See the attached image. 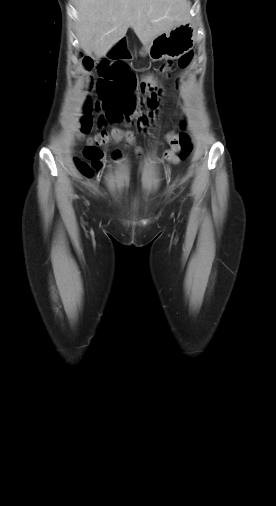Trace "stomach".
I'll list each match as a JSON object with an SVG mask.
<instances>
[{
    "mask_svg": "<svg viewBox=\"0 0 276 506\" xmlns=\"http://www.w3.org/2000/svg\"><path fill=\"white\" fill-rule=\"evenodd\" d=\"M196 31L190 22L180 24L168 32H164L148 43L140 51V55H148L153 61L177 59L190 51L195 44Z\"/></svg>",
    "mask_w": 276,
    "mask_h": 506,
    "instance_id": "obj_1",
    "label": "stomach"
}]
</instances>
